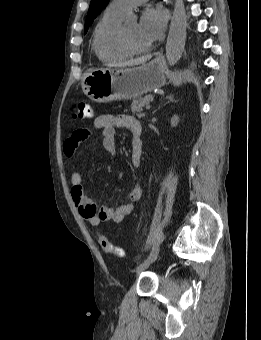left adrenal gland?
Returning a JSON list of instances; mask_svg holds the SVG:
<instances>
[{
	"label": "left adrenal gland",
	"instance_id": "obj_1",
	"mask_svg": "<svg viewBox=\"0 0 261 340\" xmlns=\"http://www.w3.org/2000/svg\"><path fill=\"white\" fill-rule=\"evenodd\" d=\"M167 99V102L166 103H173V102H176L175 98H174V95H170L168 97H166Z\"/></svg>",
	"mask_w": 261,
	"mask_h": 340
}]
</instances>
